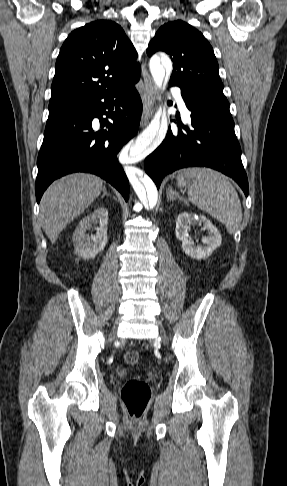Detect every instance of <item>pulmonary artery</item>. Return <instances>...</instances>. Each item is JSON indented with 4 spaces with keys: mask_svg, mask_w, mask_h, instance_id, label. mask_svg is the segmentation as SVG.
<instances>
[{
    "mask_svg": "<svg viewBox=\"0 0 287 486\" xmlns=\"http://www.w3.org/2000/svg\"><path fill=\"white\" fill-rule=\"evenodd\" d=\"M175 92H176V94H177V95H176V98H177V102H178V104H179V107L181 108V110H182V112H183L184 116H185L187 119H189V112H188V110H187V108H186V106H185V103H184V101H183V99H182V97H181V95H180V93H179L178 89H175Z\"/></svg>",
    "mask_w": 287,
    "mask_h": 486,
    "instance_id": "pulmonary-artery-1",
    "label": "pulmonary artery"
}]
</instances>
